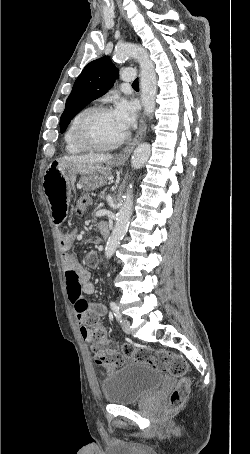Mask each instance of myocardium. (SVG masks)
I'll return each instance as SVG.
<instances>
[{"instance_id": "obj_1", "label": "myocardium", "mask_w": 250, "mask_h": 454, "mask_svg": "<svg viewBox=\"0 0 250 454\" xmlns=\"http://www.w3.org/2000/svg\"><path fill=\"white\" fill-rule=\"evenodd\" d=\"M112 111L109 106L99 105L93 108L88 109L78 120L75 131L74 138L76 143L84 148L85 150L90 151H108L113 150L120 145H122L128 138L129 134L125 133L120 139L110 143V144H97L89 140L86 136L85 130L89 121L96 116L97 114Z\"/></svg>"}]
</instances>
